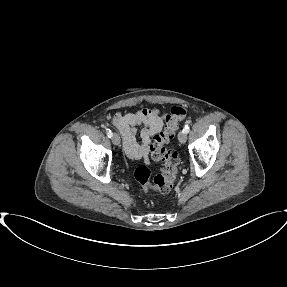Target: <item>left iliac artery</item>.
Returning a JSON list of instances; mask_svg holds the SVG:
<instances>
[{
  "label": "left iliac artery",
  "mask_w": 287,
  "mask_h": 287,
  "mask_svg": "<svg viewBox=\"0 0 287 287\" xmlns=\"http://www.w3.org/2000/svg\"><path fill=\"white\" fill-rule=\"evenodd\" d=\"M190 130V127L188 125H185L183 131L187 134Z\"/></svg>",
  "instance_id": "1"
}]
</instances>
